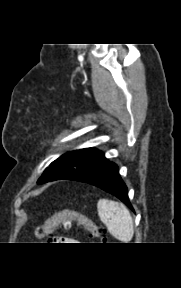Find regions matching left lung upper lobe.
<instances>
[{
  "label": "left lung upper lobe",
  "instance_id": "left-lung-upper-lobe-1",
  "mask_svg": "<svg viewBox=\"0 0 181 288\" xmlns=\"http://www.w3.org/2000/svg\"><path fill=\"white\" fill-rule=\"evenodd\" d=\"M107 161L102 151L94 148L69 151L51 163V168L45 171L38 183L60 179L79 181Z\"/></svg>",
  "mask_w": 181,
  "mask_h": 288
}]
</instances>
